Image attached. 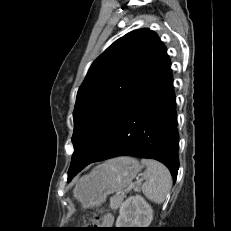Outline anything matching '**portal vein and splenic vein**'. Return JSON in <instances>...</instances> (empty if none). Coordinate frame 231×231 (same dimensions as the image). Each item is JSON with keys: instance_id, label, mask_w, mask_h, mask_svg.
<instances>
[{"instance_id": "18ae733b", "label": "portal vein and splenic vein", "mask_w": 231, "mask_h": 231, "mask_svg": "<svg viewBox=\"0 0 231 231\" xmlns=\"http://www.w3.org/2000/svg\"><path fill=\"white\" fill-rule=\"evenodd\" d=\"M136 189L135 184H131L128 189L126 190V193L130 192L131 190Z\"/></svg>"}]
</instances>
